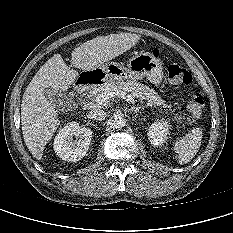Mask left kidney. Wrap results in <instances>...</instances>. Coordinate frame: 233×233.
Wrapping results in <instances>:
<instances>
[{
    "label": "left kidney",
    "instance_id": "left-kidney-1",
    "mask_svg": "<svg viewBox=\"0 0 233 233\" xmlns=\"http://www.w3.org/2000/svg\"><path fill=\"white\" fill-rule=\"evenodd\" d=\"M169 124L166 121H156L151 124L148 139L153 146H161L167 140Z\"/></svg>",
    "mask_w": 233,
    "mask_h": 233
}]
</instances>
